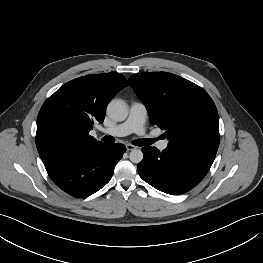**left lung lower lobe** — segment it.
Listing matches in <instances>:
<instances>
[{"label": "left lung lower lobe", "instance_id": "obj_1", "mask_svg": "<svg viewBox=\"0 0 263 263\" xmlns=\"http://www.w3.org/2000/svg\"><path fill=\"white\" fill-rule=\"evenodd\" d=\"M138 164L140 177L154 188L178 195L191 190L205 176L216 154L192 151L168 145L160 152L156 147L142 148Z\"/></svg>", "mask_w": 263, "mask_h": 263}]
</instances>
